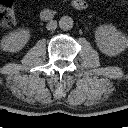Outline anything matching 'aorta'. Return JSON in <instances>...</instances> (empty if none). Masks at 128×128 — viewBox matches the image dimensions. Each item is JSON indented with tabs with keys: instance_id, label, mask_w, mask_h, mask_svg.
<instances>
[{
	"instance_id": "762f6f07",
	"label": "aorta",
	"mask_w": 128,
	"mask_h": 128,
	"mask_svg": "<svg viewBox=\"0 0 128 128\" xmlns=\"http://www.w3.org/2000/svg\"><path fill=\"white\" fill-rule=\"evenodd\" d=\"M73 19L70 16H62L59 20V26L62 30L68 31L73 28Z\"/></svg>"
}]
</instances>
